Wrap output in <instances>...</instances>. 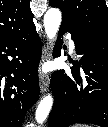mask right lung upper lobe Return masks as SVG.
Returning a JSON list of instances; mask_svg holds the SVG:
<instances>
[{"mask_svg":"<svg viewBox=\"0 0 108 127\" xmlns=\"http://www.w3.org/2000/svg\"><path fill=\"white\" fill-rule=\"evenodd\" d=\"M34 27L29 0L0 1V38L23 33Z\"/></svg>","mask_w":108,"mask_h":127,"instance_id":"cb5924a9","label":"right lung upper lobe"}]
</instances>
